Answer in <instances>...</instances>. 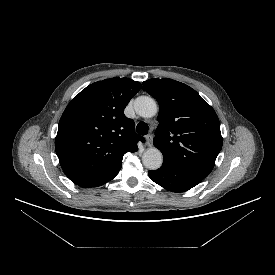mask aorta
I'll list each match as a JSON object with an SVG mask.
<instances>
[{"instance_id": "1", "label": "aorta", "mask_w": 275, "mask_h": 275, "mask_svg": "<svg viewBox=\"0 0 275 275\" xmlns=\"http://www.w3.org/2000/svg\"><path fill=\"white\" fill-rule=\"evenodd\" d=\"M134 109L141 117L150 118L156 115L157 104L151 97L140 96L134 102ZM142 161L149 170H157L163 163V156L159 149L152 147L144 152Z\"/></svg>"}]
</instances>
